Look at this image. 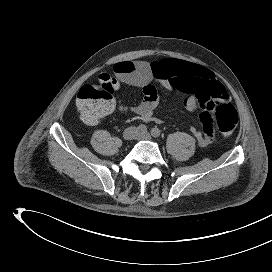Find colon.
I'll list each match as a JSON object with an SVG mask.
<instances>
[{
    "instance_id": "1",
    "label": "colon",
    "mask_w": 272,
    "mask_h": 272,
    "mask_svg": "<svg viewBox=\"0 0 272 272\" xmlns=\"http://www.w3.org/2000/svg\"><path fill=\"white\" fill-rule=\"evenodd\" d=\"M115 89V79L107 74H102L98 83H88L80 88L76 96V107L85 123L95 125L109 114L114 103ZM212 102L217 113L214 119L216 126L223 135L229 136L237 127V112L227 98Z\"/></svg>"
}]
</instances>
